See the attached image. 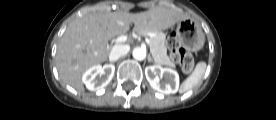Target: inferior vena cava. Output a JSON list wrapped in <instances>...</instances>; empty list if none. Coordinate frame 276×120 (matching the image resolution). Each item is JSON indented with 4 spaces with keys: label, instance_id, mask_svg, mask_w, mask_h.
<instances>
[{
    "label": "inferior vena cava",
    "instance_id": "obj_1",
    "mask_svg": "<svg viewBox=\"0 0 276 120\" xmlns=\"http://www.w3.org/2000/svg\"><path fill=\"white\" fill-rule=\"evenodd\" d=\"M129 50H130L129 45H122V44L115 45L110 52L109 60L111 62H115L120 57L125 56L129 52Z\"/></svg>",
    "mask_w": 276,
    "mask_h": 120
}]
</instances>
